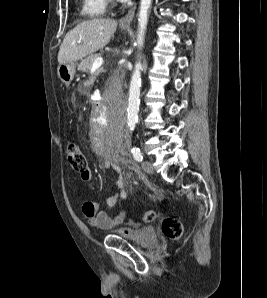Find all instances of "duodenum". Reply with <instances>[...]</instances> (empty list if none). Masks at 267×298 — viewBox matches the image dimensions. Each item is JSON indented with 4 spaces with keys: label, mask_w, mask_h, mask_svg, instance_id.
I'll use <instances>...</instances> for the list:
<instances>
[{
    "label": "duodenum",
    "mask_w": 267,
    "mask_h": 298,
    "mask_svg": "<svg viewBox=\"0 0 267 298\" xmlns=\"http://www.w3.org/2000/svg\"><path fill=\"white\" fill-rule=\"evenodd\" d=\"M99 105H105V100L102 98H92V104H89L88 115H100L101 107Z\"/></svg>",
    "instance_id": "obj_1"
}]
</instances>
